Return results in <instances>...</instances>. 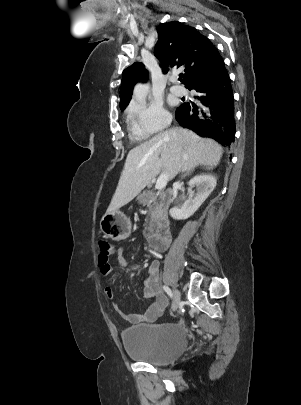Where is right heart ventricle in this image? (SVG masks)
Returning <instances> with one entry per match:
<instances>
[{
  "instance_id": "obj_1",
  "label": "right heart ventricle",
  "mask_w": 301,
  "mask_h": 405,
  "mask_svg": "<svg viewBox=\"0 0 301 405\" xmlns=\"http://www.w3.org/2000/svg\"><path fill=\"white\" fill-rule=\"evenodd\" d=\"M127 117H128V120H129V130H130L131 136L133 138H135V139H143V138H145L146 136L143 135L142 133H140L139 130L134 125L129 112L127 114Z\"/></svg>"
}]
</instances>
